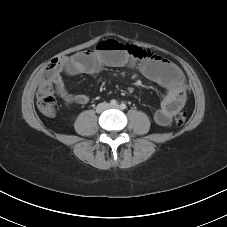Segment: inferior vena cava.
I'll list each match as a JSON object with an SVG mask.
<instances>
[{
    "mask_svg": "<svg viewBox=\"0 0 227 227\" xmlns=\"http://www.w3.org/2000/svg\"><path fill=\"white\" fill-rule=\"evenodd\" d=\"M100 111H102V109H100V108H97V112H100Z\"/></svg>",
    "mask_w": 227,
    "mask_h": 227,
    "instance_id": "1",
    "label": "inferior vena cava"
}]
</instances>
